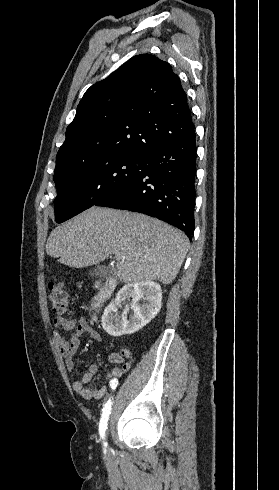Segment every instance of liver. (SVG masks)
<instances>
[{
	"label": "liver",
	"mask_w": 279,
	"mask_h": 490,
	"mask_svg": "<svg viewBox=\"0 0 279 490\" xmlns=\"http://www.w3.org/2000/svg\"><path fill=\"white\" fill-rule=\"evenodd\" d=\"M188 246L183 232L156 218L93 206L55 228L46 242V252L70 268L94 266L115 254L119 282L159 280L171 284Z\"/></svg>",
	"instance_id": "obj_1"
}]
</instances>
